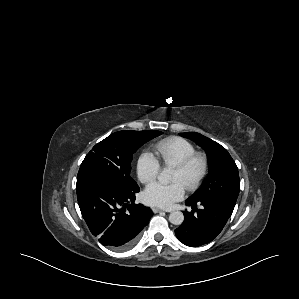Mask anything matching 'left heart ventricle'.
<instances>
[{"mask_svg":"<svg viewBox=\"0 0 299 299\" xmlns=\"http://www.w3.org/2000/svg\"><path fill=\"white\" fill-rule=\"evenodd\" d=\"M198 171H199V164L193 165V167L185 174L174 169L172 173V181L173 182L179 181L185 186L189 181H191L197 175Z\"/></svg>","mask_w":299,"mask_h":299,"instance_id":"1","label":"left heart ventricle"}]
</instances>
